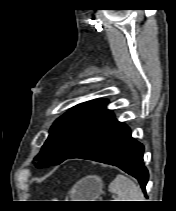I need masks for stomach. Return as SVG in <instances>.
I'll use <instances>...</instances> for the list:
<instances>
[{
	"label": "stomach",
	"mask_w": 176,
	"mask_h": 211,
	"mask_svg": "<svg viewBox=\"0 0 176 211\" xmlns=\"http://www.w3.org/2000/svg\"><path fill=\"white\" fill-rule=\"evenodd\" d=\"M103 192V181L99 176L90 175L81 179L72 189V196L77 201H96Z\"/></svg>",
	"instance_id": "stomach-1"
}]
</instances>
